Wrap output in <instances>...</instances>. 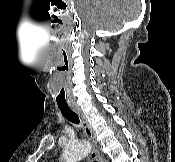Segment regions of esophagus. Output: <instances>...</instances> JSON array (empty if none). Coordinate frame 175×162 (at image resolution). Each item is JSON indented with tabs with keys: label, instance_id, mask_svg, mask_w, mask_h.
I'll return each instance as SVG.
<instances>
[{
	"label": "esophagus",
	"instance_id": "34e87169",
	"mask_svg": "<svg viewBox=\"0 0 175 162\" xmlns=\"http://www.w3.org/2000/svg\"><path fill=\"white\" fill-rule=\"evenodd\" d=\"M72 110L79 116L80 120H81V124L84 130V133L86 135V137L88 138V140L91 142L92 145V150H91V157L92 160H94L95 162H103L98 146H97V141H96V136L95 133L92 130V127L90 125V123L88 122L87 118L85 117V115L83 114V112L81 111L80 108L78 107H72Z\"/></svg>",
	"mask_w": 175,
	"mask_h": 162
}]
</instances>
